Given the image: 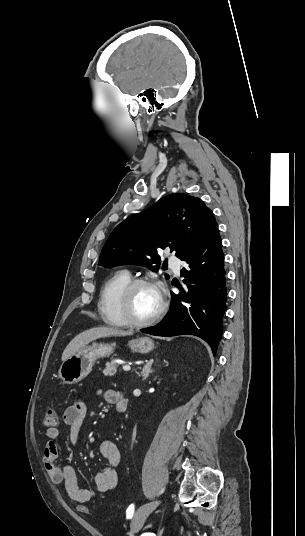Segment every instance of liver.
<instances>
[{
    "instance_id": "liver-1",
    "label": "liver",
    "mask_w": 305,
    "mask_h": 536,
    "mask_svg": "<svg viewBox=\"0 0 305 536\" xmlns=\"http://www.w3.org/2000/svg\"><path fill=\"white\" fill-rule=\"evenodd\" d=\"M133 332H124V330H118V328H91V330H86L82 334L75 336L65 348L62 354V362H65L67 358L76 354L78 350L87 346L89 342L93 340H98V338H109V336H132Z\"/></svg>"
}]
</instances>
